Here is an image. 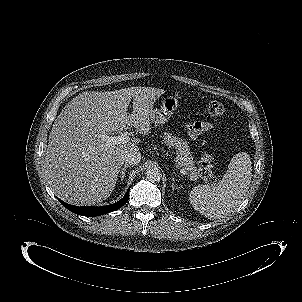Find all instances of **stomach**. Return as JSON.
<instances>
[{
	"label": "stomach",
	"instance_id": "stomach-1",
	"mask_svg": "<svg viewBox=\"0 0 302 302\" xmlns=\"http://www.w3.org/2000/svg\"><path fill=\"white\" fill-rule=\"evenodd\" d=\"M179 106V101L177 97L167 96L163 99L160 108L152 110L151 121L155 124H164L172 116L174 111Z\"/></svg>",
	"mask_w": 302,
	"mask_h": 302
}]
</instances>
